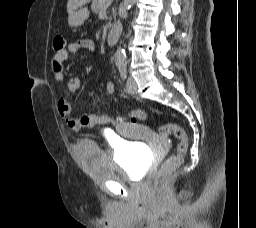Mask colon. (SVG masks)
Wrapping results in <instances>:
<instances>
[{
	"label": "colon",
	"mask_w": 256,
	"mask_h": 228,
	"mask_svg": "<svg viewBox=\"0 0 256 228\" xmlns=\"http://www.w3.org/2000/svg\"><path fill=\"white\" fill-rule=\"evenodd\" d=\"M66 41L60 36L56 35L53 39L54 53H58L65 49ZM145 113L143 110L137 109L131 112L130 120L133 122L143 121ZM161 134L164 136L173 135L178 140L177 151L175 154L166 159L156 173L153 185L156 189L162 188L168 175L176 170L183 162L184 155L187 153L189 147V140L185 130L175 123H165L161 126Z\"/></svg>",
	"instance_id": "1"
}]
</instances>
